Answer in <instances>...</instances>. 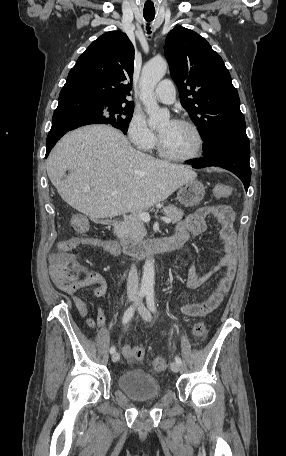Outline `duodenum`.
<instances>
[{
    "label": "duodenum",
    "mask_w": 286,
    "mask_h": 456,
    "mask_svg": "<svg viewBox=\"0 0 286 456\" xmlns=\"http://www.w3.org/2000/svg\"><path fill=\"white\" fill-rule=\"evenodd\" d=\"M110 225L113 231L118 233V223L115 221H110ZM184 242V238L173 235L165 238H156L141 242L124 241L120 243V246L125 254L141 257L155 252H164L179 249L183 246Z\"/></svg>",
    "instance_id": "obj_1"
}]
</instances>
